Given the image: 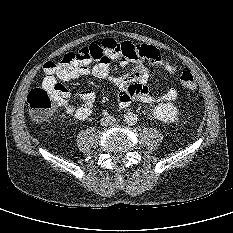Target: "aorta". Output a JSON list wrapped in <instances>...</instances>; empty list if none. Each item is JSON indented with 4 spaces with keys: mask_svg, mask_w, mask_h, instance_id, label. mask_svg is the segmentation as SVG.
<instances>
[{
    "mask_svg": "<svg viewBox=\"0 0 233 233\" xmlns=\"http://www.w3.org/2000/svg\"><path fill=\"white\" fill-rule=\"evenodd\" d=\"M124 122L127 125H134L137 122V116L133 112H127L124 115Z\"/></svg>",
    "mask_w": 233,
    "mask_h": 233,
    "instance_id": "aorta-1",
    "label": "aorta"
}]
</instances>
